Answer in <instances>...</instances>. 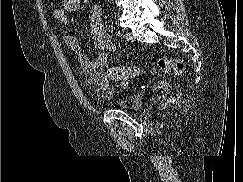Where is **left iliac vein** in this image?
<instances>
[{"label": "left iliac vein", "mask_w": 243, "mask_h": 182, "mask_svg": "<svg viewBox=\"0 0 243 182\" xmlns=\"http://www.w3.org/2000/svg\"><path fill=\"white\" fill-rule=\"evenodd\" d=\"M124 37H125V39H126L127 41H130V42L134 41V37H133L132 34L129 33V32H126V33L124 34Z\"/></svg>", "instance_id": "4c4485c4"}]
</instances>
